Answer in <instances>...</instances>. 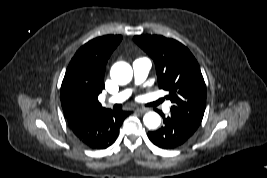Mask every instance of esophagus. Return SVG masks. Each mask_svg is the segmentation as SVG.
<instances>
[{"instance_id":"obj_1","label":"esophagus","mask_w":267,"mask_h":178,"mask_svg":"<svg viewBox=\"0 0 267 178\" xmlns=\"http://www.w3.org/2000/svg\"><path fill=\"white\" fill-rule=\"evenodd\" d=\"M136 111L139 113H146L148 111V109L147 108H137Z\"/></svg>"}]
</instances>
